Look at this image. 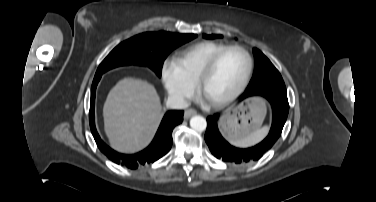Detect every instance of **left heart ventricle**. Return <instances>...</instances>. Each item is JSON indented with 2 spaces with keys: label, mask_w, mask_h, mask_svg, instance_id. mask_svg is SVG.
Segmentation results:
<instances>
[{
  "label": "left heart ventricle",
  "mask_w": 376,
  "mask_h": 202,
  "mask_svg": "<svg viewBox=\"0 0 376 202\" xmlns=\"http://www.w3.org/2000/svg\"><path fill=\"white\" fill-rule=\"evenodd\" d=\"M247 59L237 50L227 52L208 78L205 94L209 100H219L232 93L241 83Z\"/></svg>",
  "instance_id": "b2bd125f"
}]
</instances>
